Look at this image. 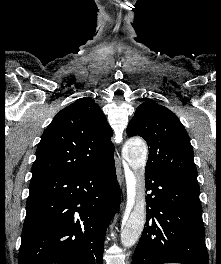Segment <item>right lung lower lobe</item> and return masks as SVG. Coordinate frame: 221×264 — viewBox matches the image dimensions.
<instances>
[{"mask_svg":"<svg viewBox=\"0 0 221 264\" xmlns=\"http://www.w3.org/2000/svg\"><path fill=\"white\" fill-rule=\"evenodd\" d=\"M120 195L114 157L31 181L18 264H102Z\"/></svg>","mask_w":221,"mask_h":264,"instance_id":"obj_1","label":"right lung lower lobe"}]
</instances>
